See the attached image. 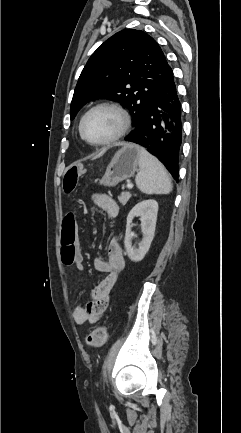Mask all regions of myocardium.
<instances>
[{
    "label": "myocardium",
    "instance_id": "myocardium-1",
    "mask_svg": "<svg viewBox=\"0 0 241 433\" xmlns=\"http://www.w3.org/2000/svg\"><path fill=\"white\" fill-rule=\"evenodd\" d=\"M100 109H107V110H111L114 113H116L120 119V126H119V129L117 130V132L114 135H112L111 137H109L103 141L92 142V141H89L84 136L83 125H84L85 120L87 119V117L90 114H92L93 112L100 110ZM130 124H131L130 116H129L128 112L121 105L114 103V102H100L98 104H95L91 108H89L81 117L80 123H79V134H80L81 139L91 146H95V147L107 146V145L114 144L115 142L119 141L122 137H124L130 128Z\"/></svg>",
    "mask_w": 241,
    "mask_h": 433
}]
</instances>
